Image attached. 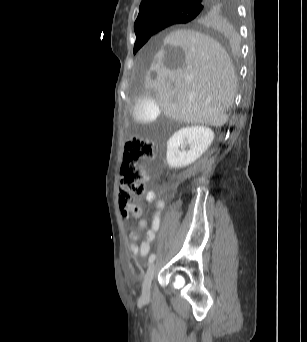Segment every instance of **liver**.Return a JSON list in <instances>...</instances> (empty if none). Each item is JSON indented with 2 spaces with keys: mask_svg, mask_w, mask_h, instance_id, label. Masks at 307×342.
Masks as SVG:
<instances>
[{
  "mask_svg": "<svg viewBox=\"0 0 307 342\" xmlns=\"http://www.w3.org/2000/svg\"><path fill=\"white\" fill-rule=\"evenodd\" d=\"M157 49L145 84L157 90L164 116L186 124L224 126L234 102L236 78L221 44L195 30H175ZM150 74H157L156 80Z\"/></svg>",
  "mask_w": 307,
  "mask_h": 342,
  "instance_id": "obj_1",
  "label": "liver"
}]
</instances>
